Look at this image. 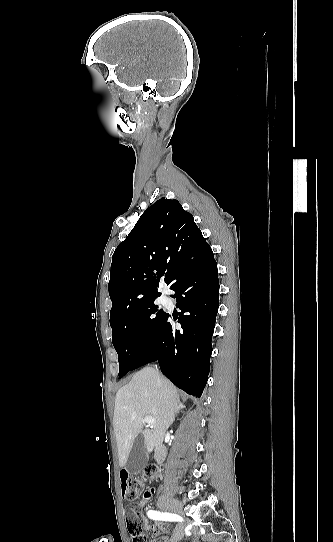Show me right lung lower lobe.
Masks as SVG:
<instances>
[{
	"instance_id": "98d812e1",
	"label": "right lung lower lobe",
	"mask_w": 333,
	"mask_h": 542,
	"mask_svg": "<svg viewBox=\"0 0 333 542\" xmlns=\"http://www.w3.org/2000/svg\"><path fill=\"white\" fill-rule=\"evenodd\" d=\"M176 307L173 319L167 314L152 346L137 360L133 370L158 361L162 373L186 393L201 397L207 382L212 354L211 339L218 312L219 281L213 252L205 239L179 250ZM181 324V329L175 323Z\"/></svg>"
}]
</instances>
